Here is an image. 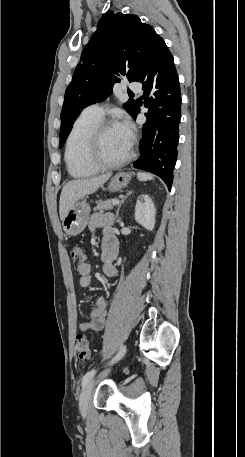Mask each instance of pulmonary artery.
I'll return each mask as SVG.
<instances>
[{
	"label": "pulmonary artery",
	"mask_w": 245,
	"mask_h": 457,
	"mask_svg": "<svg viewBox=\"0 0 245 457\" xmlns=\"http://www.w3.org/2000/svg\"><path fill=\"white\" fill-rule=\"evenodd\" d=\"M129 90H142L143 83L142 81H129L128 82ZM81 115H88L95 118H101L103 116V108L99 105H89L83 109Z\"/></svg>",
	"instance_id": "obj_1"
}]
</instances>
